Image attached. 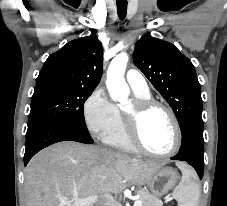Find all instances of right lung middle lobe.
<instances>
[{
    "mask_svg": "<svg viewBox=\"0 0 227 206\" xmlns=\"http://www.w3.org/2000/svg\"><path fill=\"white\" fill-rule=\"evenodd\" d=\"M93 90L57 83L36 84L28 129L47 121L67 123L85 129L82 122L83 105Z\"/></svg>",
    "mask_w": 227,
    "mask_h": 206,
    "instance_id": "obj_1",
    "label": "right lung middle lobe"
}]
</instances>
